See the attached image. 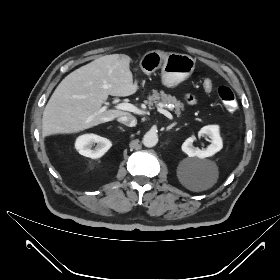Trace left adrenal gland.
I'll use <instances>...</instances> for the list:
<instances>
[{
  "instance_id": "left-adrenal-gland-1",
  "label": "left adrenal gland",
  "mask_w": 280,
  "mask_h": 280,
  "mask_svg": "<svg viewBox=\"0 0 280 280\" xmlns=\"http://www.w3.org/2000/svg\"><path fill=\"white\" fill-rule=\"evenodd\" d=\"M176 125H177L176 122L172 123L171 125H169V126L166 128V131L171 130V129H172L174 126H176Z\"/></svg>"
}]
</instances>
